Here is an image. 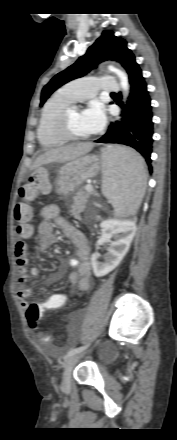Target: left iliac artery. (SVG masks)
I'll return each instance as SVG.
<instances>
[{
	"mask_svg": "<svg viewBox=\"0 0 177 440\" xmlns=\"http://www.w3.org/2000/svg\"><path fill=\"white\" fill-rule=\"evenodd\" d=\"M87 347H88V345H85V346H82V347H79V348H73V349H71V350L67 353L66 357H70V356H72V355H74V354H77V353H79V352L85 350Z\"/></svg>",
	"mask_w": 177,
	"mask_h": 440,
	"instance_id": "obj_1",
	"label": "left iliac artery"
}]
</instances>
